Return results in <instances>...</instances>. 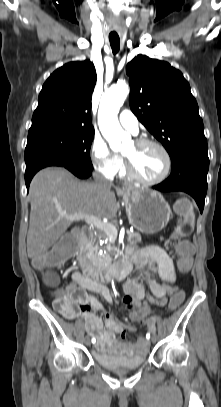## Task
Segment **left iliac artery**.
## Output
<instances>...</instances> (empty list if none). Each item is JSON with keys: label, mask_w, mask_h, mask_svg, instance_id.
<instances>
[{"label": "left iliac artery", "mask_w": 221, "mask_h": 407, "mask_svg": "<svg viewBox=\"0 0 221 407\" xmlns=\"http://www.w3.org/2000/svg\"><path fill=\"white\" fill-rule=\"evenodd\" d=\"M152 332L155 333V328L152 329ZM146 337L150 338V334H147Z\"/></svg>", "instance_id": "left-iliac-artery-1"}]
</instances>
